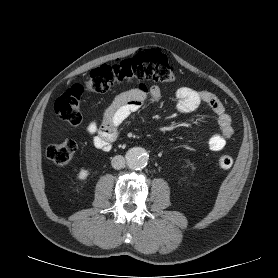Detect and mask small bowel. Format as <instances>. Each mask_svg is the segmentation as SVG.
<instances>
[{"label":"small bowel","mask_w":278,"mask_h":278,"mask_svg":"<svg viewBox=\"0 0 278 278\" xmlns=\"http://www.w3.org/2000/svg\"><path fill=\"white\" fill-rule=\"evenodd\" d=\"M162 97L159 86L147 87L140 84L136 88L119 93L106 107L100 122L93 120L87 125L93 146L103 152H108L112 144L119 138L120 125L134 112L138 111L147 101L158 102ZM176 108L183 114L195 111L201 104H206L216 116L218 131L207 137V143L212 151L222 150L233 136L234 130L231 117L225 107L212 92L195 90L182 86L175 92Z\"/></svg>","instance_id":"c3829d8e"}]
</instances>
